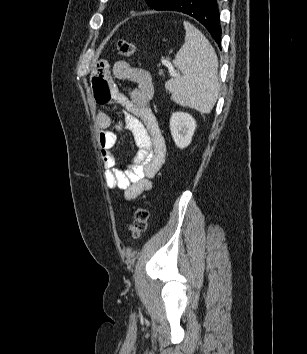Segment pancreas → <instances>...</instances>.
Returning a JSON list of instances; mask_svg holds the SVG:
<instances>
[{"mask_svg":"<svg viewBox=\"0 0 307 354\" xmlns=\"http://www.w3.org/2000/svg\"><path fill=\"white\" fill-rule=\"evenodd\" d=\"M159 74H160V75H162V74H163V71H162V70H160V71H159Z\"/></svg>","mask_w":307,"mask_h":354,"instance_id":"1","label":"pancreas"}]
</instances>
